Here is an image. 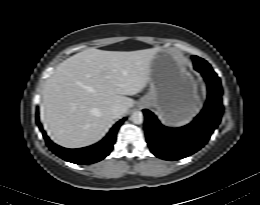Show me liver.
<instances>
[{
  "instance_id": "1",
  "label": "liver",
  "mask_w": 260,
  "mask_h": 205,
  "mask_svg": "<svg viewBox=\"0 0 260 205\" xmlns=\"http://www.w3.org/2000/svg\"><path fill=\"white\" fill-rule=\"evenodd\" d=\"M159 47L136 51L88 48L60 63L46 80L40 116L51 139L67 148L100 140L113 124L110 110L126 111L135 101L127 96L147 85Z\"/></svg>"
}]
</instances>
